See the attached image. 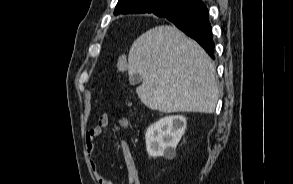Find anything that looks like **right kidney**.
Listing matches in <instances>:
<instances>
[{
	"label": "right kidney",
	"instance_id": "obj_1",
	"mask_svg": "<svg viewBox=\"0 0 293 184\" xmlns=\"http://www.w3.org/2000/svg\"><path fill=\"white\" fill-rule=\"evenodd\" d=\"M186 124L184 116L175 115L164 117L151 125L145 134L148 155L153 158H174L175 149L185 133Z\"/></svg>",
	"mask_w": 293,
	"mask_h": 184
}]
</instances>
